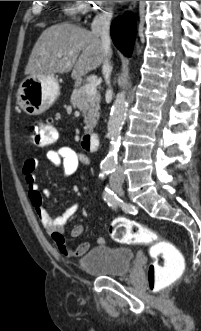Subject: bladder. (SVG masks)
<instances>
[{"label":"bladder","mask_w":201,"mask_h":331,"mask_svg":"<svg viewBox=\"0 0 201 331\" xmlns=\"http://www.w3.org/2000/svg\"><path fill=\"white\" fill-rule=\"evenodd\" d=\"M133 260L131 249L101 244L81 256L78 264L84 273L94 277L119 278L128 274Z\"/></svg>","instance_id":"31cf9c89"}]
</instances>
